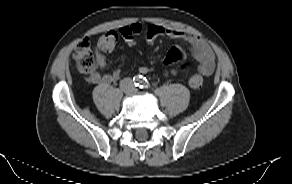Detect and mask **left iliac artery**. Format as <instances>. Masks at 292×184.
Returning a JSON list of instances; mask_svg holds the SVG:
<instances>
[{
    "label": "left iliac artery",
    "mask_w": 292,
    "mask_h": 184,
    "mask_svg": "<svg viewBox=\"0 0 292 184\" xmlns=\"http://www.w3.org/2000/svg\"><path fill=\"white\" fill-rule=\"evenodd\" d=\"M150 87V84L146 78H143L140 84V88L142 89H148Z\"/></svg>",
    "instance_id": "1"
}]
</instances>
